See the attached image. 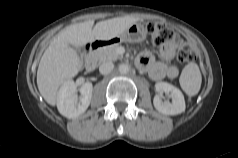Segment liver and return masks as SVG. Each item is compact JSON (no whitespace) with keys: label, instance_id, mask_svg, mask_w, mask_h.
<instances>
[{"label":"liver","instance_id":"obj_1","mask_svg":"<svg viewBox=\"0 0 238 158\" xmlns=\"http://www.w3.org/2000/svg\"><path fill=\"white\" fill-rule=\"evenodd\" d=\"M138 18L119 17L100 21H86L70 25L58 33L41 57L37 70V86L45 101L54 106L58 89L78 74L82 56L73 48L82 47L93 40H109L136 23Z\"/></svg>","mask_w":238,"mask_h":158}]
</instances>
